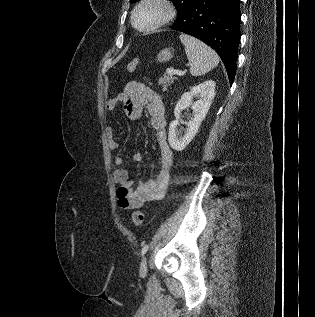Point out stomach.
I'll return each mask as SVG.
<instances>
[{"label":"stomach","instance_id":"1","mask_svg":"<svg viewBox=\"0 0 315 317\" xmlns=\"http://www.w3.org/2000/svg\"><path fill=\"white\" fill-rule=\"evenodd\" d=\"M173 57V52L170 48H165L157 55L159 62L169 61Z\"/></svg>","mask_w":315,"mask_h":317}]
</instances>
